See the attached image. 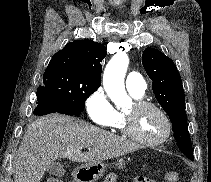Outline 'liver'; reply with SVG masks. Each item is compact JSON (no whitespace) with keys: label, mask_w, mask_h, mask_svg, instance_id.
Listing matches in <instances>:
<instances>
[{"label":"liver","mask_w":211,"mask_h":182,"mask_svg":"<svg viewBox=\"0 0 211 182\" xmlns=\"http://www.w3.org/2000/svg\"><path fill=\"white\" fill-rule=\"evenodd\" d=\"M88 148V152H82ZM139 147L126 139L58 113L33 121L27 128L14 161V182H40L58 158L73 162H100Z\"/></svg>","instance_id":"liver-1"}]
</instances>
